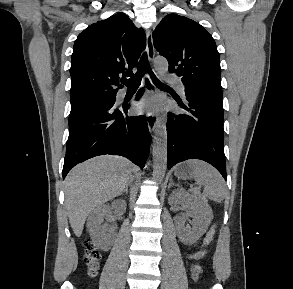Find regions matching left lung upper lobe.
Returning <instances> with one entry per match:
<instances>
[{"mask_svg": "<svg viewBox=\"0 0 293 289\" xmlns=\"http://www.w3.org/2000/svg\"><path fill=\"white\" fill-rule=\"evenodd\" d=\"M154 47L182 77L185 88L222 96L220 56L209 32L195 21L166 15L153 32Z\"/></svg>", "mask_w": 293, "mask_h": 289, "instance_id": "1", "label": "left lung upper lobe"}]
</instances>
